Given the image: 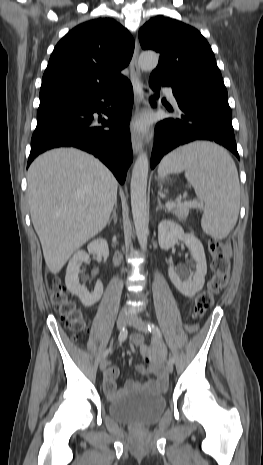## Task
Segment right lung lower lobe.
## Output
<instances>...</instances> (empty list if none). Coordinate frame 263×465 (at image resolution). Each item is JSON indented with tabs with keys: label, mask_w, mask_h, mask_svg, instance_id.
Masks as SVG:
<instances>
[{
	"label": "right lung lower lobe",
	"mask_w": 263,
	"mask_h": 465,
	"mask_svg": "<svg viewBox=\"0 0 263 465\" xmlns=\"http://www.w3.org/2000/svg\"><path fill=\"white\" fill-rule=\"evenodd\" d=\"M132 105L133 88L125 79L111 89L84 92L39 107L27 167L46 150L76 147L99 158L123 184L133 160ZM95 112H104L108 120L93 117Z\"/></svg>",
	"instance_id": "right-lung-lower-lobe-1"
}]
</instances>
